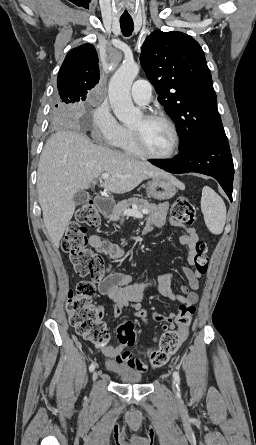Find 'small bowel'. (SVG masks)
Masks as SVG:
<instances>
[{"instance_id":"c3829d8e","label":"small bowel","mask_w":256,"mask_h":445,"mask_svg":"<svg viewBox=\"0 0 256 445\" xmlns=\"http://www.w3.org/2000/svg\"><path fill=\"white\" fill-rule=\"evenodd\" d=\"M168 210V203H160L155 211L150 215L146 229L150 230L153 227H160L165 224L166 214ZM185 234L180 236L179 242L186 245L189 249L188 263L194 264L196 255V244L198 242V235L193 227H185ZM89 245L91 248L99 253L110 256L113 259H125L124 252L115 244L103 240L99 235L93 234L89 237ZM167 253L163 255L166 256ZM183 271L187 278V283L180 285L181 294L175 293L171 288L172 274L164 271L160 274L157 284L149 282L131 283V276L122 271L113 270L111 265L104 269L105 277L100 281L98 288L99 292L106 295L114 302L113 313L118 317L124 309H130L135 315L147 323L149 311L142 307L140 300L150 291H156L160 296L166 298L171 302L179 304L176 313L169 315H162L153 313V318L158 322H163V330L167 331L173 329L176 323V317L182 308L195 304L198 301V294L195 292L200 286V278L203 273L197 270H192L189 267H184ZM103 310V309H102ZM104 314V311H103ZM188 336V328L185 329L184 339ZM102 354L114 360L109 364L111 368H123L129 371H137L143 373L147 369L145 357L150 355L152 350L142 353H132L125 350L124 345H107L99 346Z\"/></svg>"}]
</instances>
